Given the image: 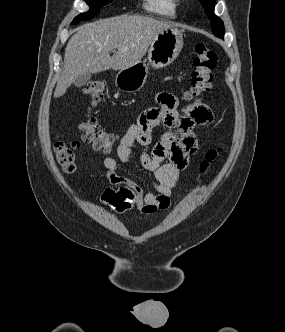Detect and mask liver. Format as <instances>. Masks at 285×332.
Wrapping results in <instances>:
<instances>
[{
    "instance_id": "liver-1",
    "label": "liver",
    "mask_w": 285,
    "mask_h": 332,
    "mask_svg": "<svg viewBox=\"0 0 285 332\" xmlns=\"http://www.w3.org/2000/svg\"><path fill=\"white\" fill-rule=\"evenodd\" d=\"M170 27V22L139 15L100 19L78 27L67 43L54 98L63 96L80 75L124 70L139 63L156 36ZM114 49L118 51L111 57Z\"/></svg>"
}]
</instances>
